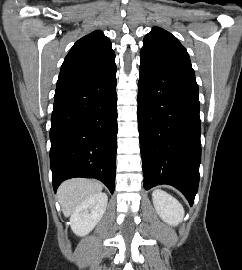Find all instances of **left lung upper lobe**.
Returning a JSON list of instances; mask_svg holds the SVG:
<instances>
[{
	"label": "left lung upper lobe",
	"instance_id": "left-lung-upper-lobe-1",
	"mask_svg": "<svg viewBox=\"0 0 242 270\" xmlns=\"http://www.w3.org/2000/svg\"><path fill=\"white\" fill-rule=\"evenodd\" d=\"M140 59L149 65L195 77L186 49L175 36L159 27H154L144 37Z\"/></svg>",
	"mask_w": 242,
	"mask_h": 270
}]
</instances>
